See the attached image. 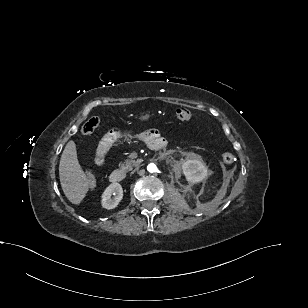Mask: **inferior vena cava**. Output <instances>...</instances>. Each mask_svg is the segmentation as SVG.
Masks as SVG:
<instances>
[{
  "mask_svg": "<svg viewBox=\"0 0 308 308\" xmlns=\"http://www.w3.org/2000/svg\"><path fill=\"white\" fill-rule=\"evenodd\" d=\"M132 174H138V169H132Z\"/></svg>",
  "mask_w": 308,
  "mask_h": 308,
  "instance_id": "inferior-vena-cava-1",
  "label": "inferior vena cava"
}]
</instances>
